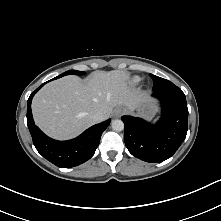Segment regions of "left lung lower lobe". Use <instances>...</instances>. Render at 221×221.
Listing matches in <instances>:
<instances>
[{
	"label": "left lung lower lobe",
	"instance_id": "1",
	"mask_svg": "<svg viewBox=\"0 0 221 221\" xmlns=\"http://www.w3.org/2000/svg\"><path fill=\"white\" fill-rule=\"evenodd\" d=\"M161 102L160 120L151 124L143 119L122 116L125 125L124 141L129 152L146 162H162L170 158L187 134L188 108L185 94L179 87L153 90Z\"/></svg>",
	"mask_w": 221,
	"mask_h": 221
}]
</instances>
